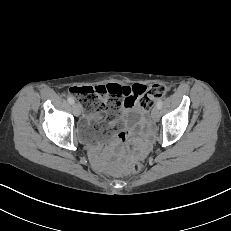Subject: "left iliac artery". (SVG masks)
<instances>
[{
  "mask_svg": "<svg viewBox=\"0 0 231 231\" xmlns=\"http://www.w3.org/2000/svg\"><path fill=\"white\" fill-rule=\"evenodd\" d=\"M162 105H163V101L162 100H158L156 106L160 109L162 107Z\"/></svg>",
  "mask_w": 231,
  "mask_h": 231,
  "instance_id": "44dca946",
  "label": "left iliac artery"
}]
</instances>
